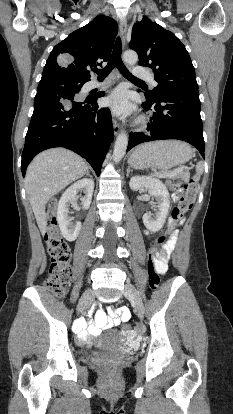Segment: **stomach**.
Here are the masks:
<instances>
[{"instance_id":"0dacf381","label":"stomach","mask_w":233,"mask_h":414,"mask_svg":"<svg viewBox=\"0 0 233 414\" xmlns=\"http://www.w3.org/2000/svg\"><path fill=\"white\" fill-rule=\"evenodd\" d=\"M191 157L192 149L184 142L156 141L138 146L130 155L128 163L134 168H152L165 172L183 165Z\"/></svg>"}]
</instances>
